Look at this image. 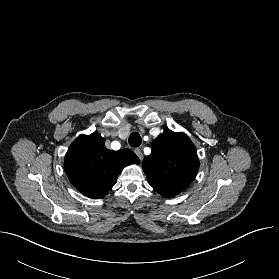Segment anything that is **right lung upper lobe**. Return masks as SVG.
I'll list each match as a JSON object with an SVG mask.
<instances>
[{
    "label": "right lung upper lobe",
    "instance_id": "right-lung-upper-lobe-1",
    "mask_svg": "<svg viewBox=\"0 0 279 279\" xmlns=\"http://www.w3.org/2000/svg\"><path fill=\"white\" fill-rule=\"evenodd\" d=\"M104 143L105 139L97 132L80 135L69 146L64 161L73 186L93 199L108 193L124 167L140 162L131 150H108Z\"/></svg>",
    "mask_w": 279,
    "mask_h": 279
}]
</instances>
